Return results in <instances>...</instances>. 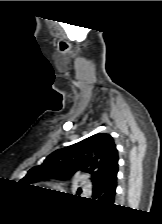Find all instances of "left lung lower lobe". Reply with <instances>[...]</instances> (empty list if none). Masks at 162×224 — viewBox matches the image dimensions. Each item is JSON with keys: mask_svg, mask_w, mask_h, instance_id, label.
<instances>
[{"mask_svg": "<svg viewBox=\"0 0 162 224\" xmlns=\"http://www.w3.org/2000/svg\"><path fill=\"white\" fill-rule=\"evenodd\" d=\"M117 172H113L100 186L93 188V199L97 202L112 204L114 201L116 186H117Z\"/></svg>", "mask_w": 162, "mask_h": 224, "instance_id": "1", "label": "left lung lower lobe"}]
</instances>
